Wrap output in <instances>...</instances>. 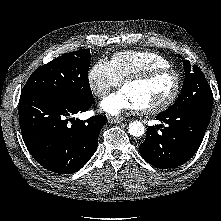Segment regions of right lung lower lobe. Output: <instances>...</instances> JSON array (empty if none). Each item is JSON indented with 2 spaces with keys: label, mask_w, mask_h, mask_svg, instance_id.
Segmentation results:
<instances>
[{
  "label": "right lung lower lobe",
  "mask_w": 221,
  "mask_h": 221,
  "mask_svg": "<svg viewBox=\"0 0 221 221\" xmlns=\"http://www.w3.org/2000/svg\"><path fill=\"white\" fill-rule=\"evenodd\" d=\"M93 103L49 93L20 96L19 122L25 145L45 169L63 174L79 171L94 154L106 117L72 118Z\"/></svg>",
  "instance_id": "1"
}]
</instances>
